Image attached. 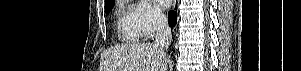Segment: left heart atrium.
<instances>
[{"mask_svg": "<svg viewBox=\"0 0 301 71\" xmlns=\"http://www.w3.org/2000/svg\"><path fill=\"white\" fill-rule=\"evenodd\" d=\"M159 9H165L170 5V0H154Z\"/></svg>", "mask_w": 301, "mask_h": 71, "instance_id": "39dd6f15", "label": "left heart atrium"}]
</instances>
